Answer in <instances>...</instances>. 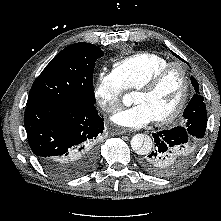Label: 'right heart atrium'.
<instances>
[{
    "label": "right heart atrium",
    "mask_w": 221,
    "mask_h": 221,
    "mask_svg": "<svg viewBox=\"0 0 221 221\" xmlns=\"http://www.w3.org/2000/svg\"><path fill=\"white\" fill-rule=\"evenodd\" d=\"M124 93V88L113 72L100 71L96 78L94 97L106 113L115 112Z\"/></svg>",
    "instance_id": "right-heart-atrium-1"
}]
</instances>
